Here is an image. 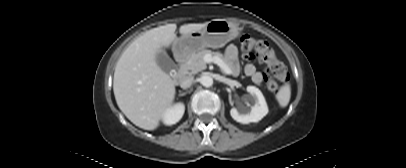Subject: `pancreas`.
Wrapping results in <instances>:
<instances>
[{
    "instance_id": "1",
    "label": "pancreas",
    "mask_w": 406,
    "mask_h": 168,
    "mask_svg": "<svg viewBox=\"0 0 406 168\" xmlns=\"http://www.w3.org/2000/svg\"><path fill=\"white\" fill-rule=\"evenodd\" d=\"M206 55H213L217 56L222 61L229 66V64L226 62V60L223 58V55L220 52H212L211 50L208 49H203L197 53H193L190 55L188 58L187 62L183 64L181 67V72L183 74H196L204 69H206V62L204 60V57Z\"/></svg>"
}]
</instances>
